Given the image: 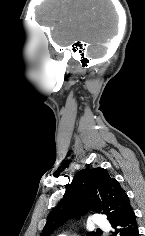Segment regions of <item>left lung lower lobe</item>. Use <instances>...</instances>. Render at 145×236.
<instances>
[{
  "label": "left lung lower lobe",
  "mask_w": 145,
  "mask_h": 236,
  "mask_svg": "<svg viewBox=\"0 0 145 236\" xmlns=\"http://www.w3.org/2000/svg\"><path fill=\"white\" fill-rule=\"evenodd\" d=\"M114 228L111 236H139L135 213L132 209L111 223Z\"/></svg>",
  "instance_id": "left-lung-lower-lobe-1"
}]
</instances>
